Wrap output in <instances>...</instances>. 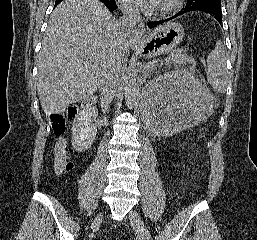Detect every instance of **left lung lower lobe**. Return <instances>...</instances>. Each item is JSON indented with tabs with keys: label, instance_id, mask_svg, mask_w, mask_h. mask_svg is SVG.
Returning a JSON list of instances; mask_svg holds the SVG:
<instances>
[{
	"label": "left lung lower lobe",
	"instance_id": "obj_1",
	"mask_svg": "<svg viewBox=\"0 0 257 240\" xmlns=\"http://www.w3.org/2000/svg\"><path fill=\"white\" fill-rule=\"evenodd\" d=\"M192 11H201L210 14L212 17H214L220 24L222 22V11H221V6L218 5H210V6H202V7H196V8H188L185 7L183 8L180 12L175 14L174 16L165 19V20H160V21H154V22H148V27L149 28H154L166 21L172 20L180 15H183L184 13L187 12H192Z\"/></svg>",
	"mask_w": 257,
	"mask_h": 240
}]
</instances>
